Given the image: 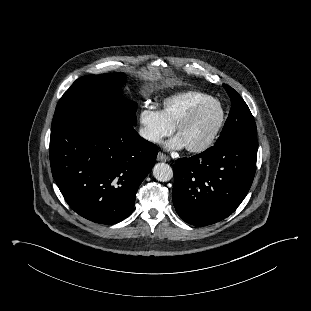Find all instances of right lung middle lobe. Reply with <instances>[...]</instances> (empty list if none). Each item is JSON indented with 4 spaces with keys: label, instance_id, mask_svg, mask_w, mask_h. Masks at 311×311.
<instances>
[{
    "label": "right lung middle lobe",
    "instance_id": "right-lung-middle-lobe-1",
    "mask_svg": "<svg viewBox=\"0 0 311 311\" xmlns=\"http://www.w3.org/2000/svg\"><path fill=\"white\" fill-rule=\"evenodd\" d=\"M123 80V73L88 75L76 80L57 104L52 129L99 120L136 125L137 103L117 95Z\"/></svg>",
    "mask_w": 311,
    "mask_h": 311
}]
</instances>
